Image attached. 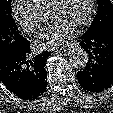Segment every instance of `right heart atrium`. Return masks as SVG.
Masks as SVG:
<instances>
[{
    "mask_svg": "<svg viewBox=\"0 0 113 113\" xmlns=\"http://www.w3.org/2000/svg\"><path fill=\"white\" fill-rule=\"evenodd\" d=\"M11 16L18 28L26 34H35L43 23V15L24 0H13Z\"/></svg>",
    "mask_w": 113,
    "mask_h": 113,
    "instance_id": "d8ad5b80",
    "label": "right heart atrium"
}]
</instances>
